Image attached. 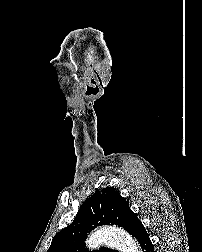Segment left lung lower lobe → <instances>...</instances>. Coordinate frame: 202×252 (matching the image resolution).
Here are the masks:
<instances>
[{"mask_svg": "<svg viewBox=\"0 0 202 252\" xmlns=\"http://www.w3.org/2000/svg\"><path fill=\"white\" fill-rule=\"evenodd\" d=\"M132 235L139 242V244L142 248V252H155L154 247H153V245L149 239V236L146 232V229L140 221L137 222L136 225L134 226L133 231H132Z\"/></svg>", "mask_w": 202, "mask_h": 252, "instance_id": "1", "label": "left lung lower lobe"}]
</instances>
